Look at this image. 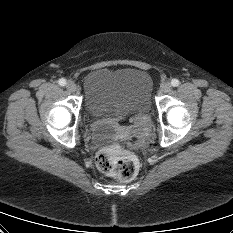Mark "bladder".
I'll use <instances>...</instances> for the list:
<instances>
[{
	"label": "bladder",
	"mask_w": 233,
	"mask_h": 233,
	"mask_svg": "<svg viewBox=\"0 0 233 233\" xmlns=\"http://www.w3.org/2000/svg\"><path fill=\"white\" fill-rule=\"evenodd\" d=\"M83 89L84 116L92 122L148 113L152 107L153 80L147 71L139 68L91 71L84 77Z\"/></svg>",
	"instance_id": "31cf9c89"
}]
</instances>
